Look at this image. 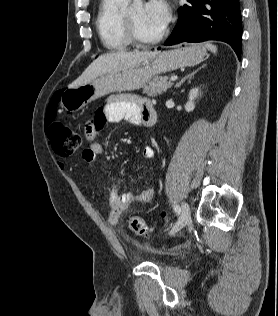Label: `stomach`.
<instances>
[{
  "label": "stomach",
  "instance_id": "stomach-1",
  "mask_svg": "<svg viewBox=\"0 0 278 316\" xmlns=\"http://www.w3.org/2000/svg\"><path fill=\"white\" fill-rule=\"evenodd\" d=\"M205 54L206 49L200 45L164 51L136 65L103 75L84 85L68 88L62 92L60 104L66 111L77 112L99 97L137 90L156 75L198 63Z\"/></svg>",
  "mask_w": 278,
  "mask_h": 316
}]
</instances>
